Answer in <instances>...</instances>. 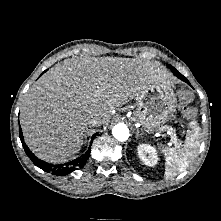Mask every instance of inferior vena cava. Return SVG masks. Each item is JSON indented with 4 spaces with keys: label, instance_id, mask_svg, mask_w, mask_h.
Segmentation results:
<instances>
[{
    "label": "inferior vena cava",
    "instance_id": "602c4592",
    "mask_svg": "<svg viewBox=\"0 0 221 221\" xmlns=\"http://www.w3.org/2000/svg\"><path fill=\"white\" fill-rule=\"evenodd\" d=\"M89 125L99 126V125H101V120L99 118H92L89 120Z\"/></svg>",
    "mask_w": 221,
    "mask_h": 221
}]
</instances>
